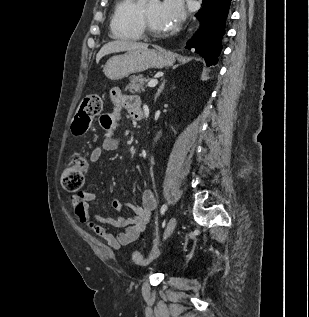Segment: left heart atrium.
Instances as JSON below:
<instances>
[{"mask_svg":"<svg viewBox=\"0 0 309 317\" xmlns=\"http://www.w3.org/2000/svg\"><path fill=\"white\" fill-rule=\"evenodd\" d=\"M185 17L183 0H163L160 4V19L166 30L176 28Z\"/></svg>","mask_w":309,"mask_h":317,"instance_id":"obj_1","label":"left heart atrium"}]
</instances>
